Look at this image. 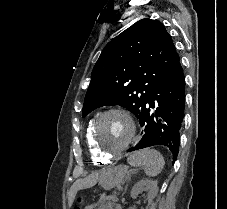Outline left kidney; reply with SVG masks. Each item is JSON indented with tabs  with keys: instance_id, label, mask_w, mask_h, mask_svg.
Listing matches in <instances>:
<instances>
[{
	"instance_id": "obj_1",
	"label": "left kidney",
	"mask_w": 227,
	"mask_h": 209,
	"mask_svg": "<svg viewBox=\"0 0 227 209\" xmlns=\"http://www.w3.org/2000/svg\"><path fill=\"white\" fill-rule=\"evenodd\" d=\"M157 185L158 181H150V179H141L139 183H136V185H134L131 191L132 199H136V197H138V195H140L142 191H148L147 197L149 199V205H151L152 199H155V197H157V193L159 191Z\"/></svg>"
}]
</instances>
